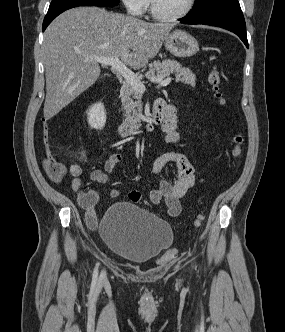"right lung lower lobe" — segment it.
Here are the masks:
<instances>
[{
	"label": "right lung lower lobe",
	"instance_id": "1",
	"mask_svg": "<svg viewBox=\"0 0 285 332\" xmlns=\"http://www.w3.org/2000/svg\"><path fill=\"white\" fill-rule=\"evenodd\" d=\"M78 6H95L93 4H83V3H74V4H64L58 6L49 7V10L44 18L42 30L44 31L47 26L56 18L59 14L64 12L67 9L78 7Z\"/></svg>",
	"mask_w": 285,
	"mask_h": 332
}]
</instances>
